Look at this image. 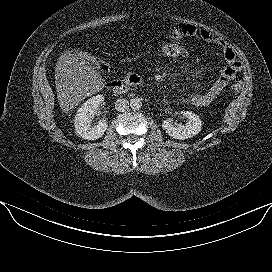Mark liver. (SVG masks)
Listing matches in <instances>:
<instances>
[{"instance_id": "obj_1", "label": "liver", "mask_w": 272, "mask_h": 272, "mask_svg": "<svg viewBox=\"0 0 272 272\" xmlns=\"http://www.w3.org/2000/svg\"><path fill=\"white\" fill-rule=\"evenodd\" d=\"M55 85L60 108L68 113L85 98L99 92L104 83L92 66L67 52L56 63Z\"/></svg>"}]
</instances>
